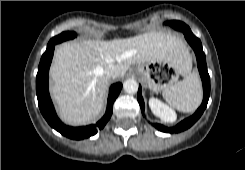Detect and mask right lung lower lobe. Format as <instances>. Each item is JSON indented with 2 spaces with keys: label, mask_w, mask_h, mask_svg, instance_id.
<instances>
[{
  "label": "right lung lower lobe",
  "mask_w": 245,
  "mask_h": 170,
  "mask_svg": "<svg viewBox=\"0 0 245 170\" xmlns=\"http://www.w3.org/2000/svg\"><path fill=\"white\" fill-rule=\"evenodd\" d=\"M54 46L55 44H48L45 53L42 55L36 76V94L40 111L49 125L62 135L76 140L88 138L96 134L98 129H102L110 119L113 112V103L121 91L122 84L116 83L111 86L106 113L96 124L84 127L64 125L56 115L48 90V73L54 53Z\"/></svg>",
  "instance_id": "98d812e1"
}]
</instances>
